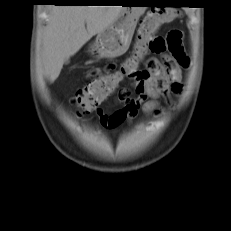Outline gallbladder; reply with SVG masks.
Masks as SVG:
<instances>
[{"instance_id":"obj_1","label":"gallbladder","mask_w":231,"mask_h":231,"mask_svg":"<svg viewBox=\"0 0 231 231\" xmlns=\"http://www.w3.org/2000/svg\"><path fill=\"white\" fill-rule=\"evenodd\" d=\"M64 63H66V64H67V63H69V60H68V59H66V60L64 61Z\"/></svg>"}]
</instances>
